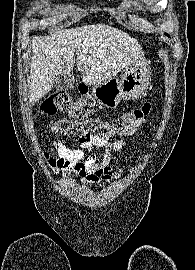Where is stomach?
<instances>
[{
    "label": "stomach",
    "instance_id": "stomach-1",
    "mask_svg": "<svg viewBox=\"0 0 195 270\" xmlns=\"http://www.w3.org/2000/svg\"><path fill=\"white\" fill-rule=\"evenodd\" d=\"M149 63L137 59L124 68L121 78H112L92 87L94 98L102 105L116 108L121 100H134L140 97L149 82Z\"/></svg>",
    "mask_w": 195,
    "mask_h": 270
}]
</instances>
